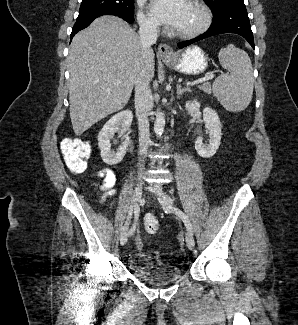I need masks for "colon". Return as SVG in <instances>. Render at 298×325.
<instances>
[{
	"label": "colon",
	"instance_id": "obj_1",
	"mask_svg": "<svg viewBox=\"0 0 298 325\" xmlns=\"http://www.w3.org/2000/svg\"><path fill=\"white\" fill-rule=\"evenodd\" d=\"M81 152H73L67 155V165L69 169L80 174L87 169V161L90 155V148L84 143L80 147ZM144 228L148 234H155L159 229V222L156 216L148 214L144 218Z\"/></svg>",
	"mask_w": 298,
	"mask_h": 325
}]
</instances>
